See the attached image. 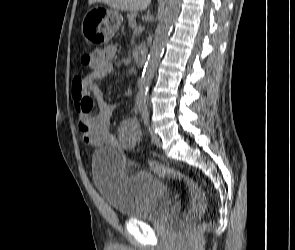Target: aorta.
<instances>
[{
    "mask_svg": "<svg viewBox=\"0 0 295 250\" xmlns=\"http://www.w3.org/2000/svg\"><path fill=\"white\" fill-rule=\"evenodd\" d=\"M181 6V0H166V5L159 17V23L155 30V37L145 63L136 103L138 107L146 106V96L157 70L166 41L170 35L172 25L177 17Z\"/></svg>",
    "mask_w": 295,
    "mask_h": 250,
    "instance_id": "aorta-1",
    "label": "aorta"
}]
</instances>
